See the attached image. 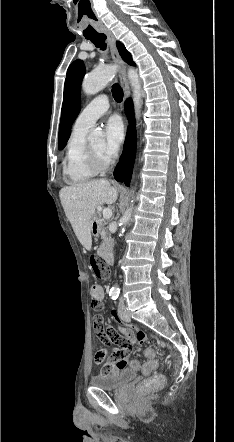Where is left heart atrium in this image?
<instances>
[{
    "label": "left heart atrium",
    "instance_id": "left-heart-atrium-1",
    "mask_svg": "<svg viewBox=\"0 0 234 442\" xmlns=\"http://www.w3.org/2000/svg\"><path fill=\"white\" fill-rule=\"evenodd\" d=\"M124 124L118 115L110 116L105 123L106 142L104 151L108 158L113 157L124 139Z\"/></svg>",
    "mask_w": 234,
    "mask_h": 442
}]
</instances>
